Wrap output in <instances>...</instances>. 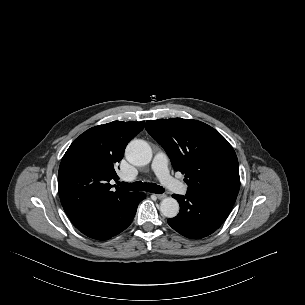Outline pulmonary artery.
<instances>
[{"mask_svg": "<svg viewBox=\"0 0 305 305\" xmlns=\"http://www.w3.org/2000/svg\"><path fill=\"white\" fill-rule=\"evenodd\" d=\"M151 168L160 182L168 189L179 194L186 193L187 186L170 175L168 169V157L163 151H158L155 154Z\"/></svg>", "mask_w": 305, "mask_h": 305, "instance_id": "e3ab8cb5", "label": "pulmonary artery"}]
</instances>
